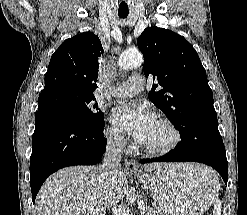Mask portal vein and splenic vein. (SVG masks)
I'll use <instances>...</instances> for the list:
<instances>
[{
    "mask_svg": "<svg viewBox=\"0 0 247 215\" xmlns=\"http://www.w3.org/2000/svg\"><path fill=\"white\" fill-rule=\"evenodd\" d=\"M138 206L144 207L145 205L143 203H138ZM113 212H114L115 215H127L126 214V209L122 208V207L115 208L113 210Z\"/></svg>",
    "mask_w": 247,
    "mask_h": 215,
    "instance_id": "18ae733b",
    "label": "portal vein and splenic vein"
}]
</instances>
